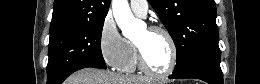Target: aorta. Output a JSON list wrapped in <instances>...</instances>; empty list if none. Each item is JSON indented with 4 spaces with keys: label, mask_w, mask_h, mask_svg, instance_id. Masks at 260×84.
I'll list each match as a JSON object with an SVG mask.
<instances>
[{
    "label": "aorta",
    "mask_w": 260,
    "mask_h": 84,
    "mask_svg": "<svg viewBox=\"0 0 260 84\" xmlns=\"http://www.w3.org/2000/svg\"><path fill=\"white\" fill-rule=\"evenodd\" d=\"M112 10L116 23L125 37L131 39L141 26V21L136 19L131 12L127 0H113Z\"/></svg>",
    "instance_id": "obj_1"
}]
</instances>
